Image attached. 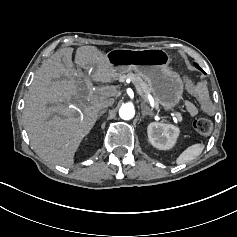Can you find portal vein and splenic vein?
Here are the masks:
<instances>
[{
	"label": "portal vein and splenic vein",
	"mask_w": 237,
	"mask_h": 237,
	"mask_svg": "<svg viewBox=\"0 0 237 237\" xmlns=\"http://www.w3.org/2000/svg\"><path fill=\"white\" fill-rule=\"evenodd\" d=\"M135 85V87L137 88L136 90V92L138 93L139 92V94L144 98V101L146 102L147 100V98L145 97V95L141 92V90L140 89H138L139 87L137 86V84L135 83L134 84ZM171 113H173V114H176V117H177V119L180 121V124H181V122H183V115H182V113H180V112H177V111H175V110H171Z\"/></svg>",
	"instance_id": "1"
}]
</instances>
